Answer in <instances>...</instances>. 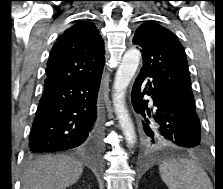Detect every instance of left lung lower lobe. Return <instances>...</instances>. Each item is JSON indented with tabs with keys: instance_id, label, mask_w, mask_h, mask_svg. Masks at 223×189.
Instances as JSON below:
<instances>
[{
	"instance_id": "left-lung-lower-lobe-1",
	"label": "left lung lower lobe",
	"mask_w": 223,
	"mask_h": 189,
	"mask_svg": "<svg viewBox=\"0 0 223 189\" xmlns=\"http://www.w3.org/2000/svg\"><path fill=\"white\" fill-rule=\"evenodd\" d=\"M148 77L151 79L146 83ZM145 83L147 87H144ZM145 94L152 96V107L143 99ZM132 104L140 116L142 133L151 140L159 136L178 149L193 151L201 148L200 121L196 111L177 102L146 68H141L134 82Z\"/></svg>"
}]
</instances>
